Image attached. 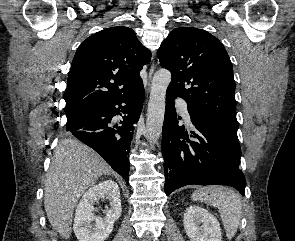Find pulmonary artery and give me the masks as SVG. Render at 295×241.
I'll return each mask as SVG.
<instances>
[{
	"label": "pulmonary artery",
	"instance_id": "pulmonary-artery-1",
	"mask_svg": "<svg viewBox=\"0 0 295 241\" xmlns=\"http://www.w3.org/2000/svg\"><path fill=\"white\" fill-rule=\"evenodd\" d=\"M176 104H177L183 118L185 119V121L189 123L190 122V115L188 112V105H187L186 101H184L180 98H177Z\"/></svg>",
	"mask_w": 295,
	"mask_h": 241
}]
</instances>
